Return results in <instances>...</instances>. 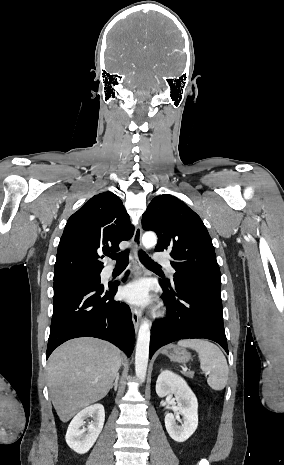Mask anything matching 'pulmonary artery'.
I'll list each match as a JSON object with an SVG mask.
<instances>
[{
    "instance_id": "obj_1",
    "label": "pulmonary artery",
    "mask_w": 284,
    "mask_h": 465,
    "mask_svg": "<svg viewBox=\"0 0 284 465\" xmlns=\"http://www.w3.org/2000/svg\"><path fill=\"white\" fill-rule=\"evenodd\" d=\"M153 257L155 258V261L157 263H168L170 260V257L168 254H162L160 250H155L153 252Z\"/></svg>"
}]
</instances>
